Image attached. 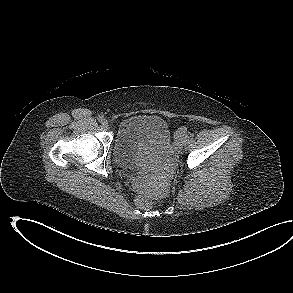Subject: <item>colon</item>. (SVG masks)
I'll return each mask as SVG.
<instances>
[{
	"label": "colon",
	"mask_w": 293,
	"mask_h": 293,
	"mask_svg": "<svg viewBox=\"0 0 293 293\" xmlns=\"http://www.w3.org/2000/svg\"><path fill=\"white\" fill-rule=\"evenodd\" d=\"M136 204L138 207L146 209V208H151V207L157 205V201L148 200L142 194H139L136 197Z\"/></svg>",
	"instance_id": "obj_1"
}]
</instances>
